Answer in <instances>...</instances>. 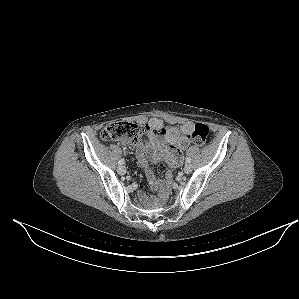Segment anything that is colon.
Returning a JSON list of instances; mask_svg holds the SVG:
<instances>
[{
    "label": "colon",
    "mask_w": 299,
    "mask_h": 299,
    "mask_svg": "<svg viewBox=\"0 0 299 299\" xmlns=\"http://www.w3.org/2000/svg\"><path fill=\"white\" fill-rule=\"evenodd\" d=\"M147 128L141 124L125 121H115L106 125L101 131V138L104 141L122 140L130 143L136 142L145 132ZM209 128L203 123H196L193 131L189 134L190 140L195 145H203L208 137ZM167 188H160L159 196L163 199L166 196Z\"/></svg>",
    "instance_id": "5ec220e1"
}]
</instances>
